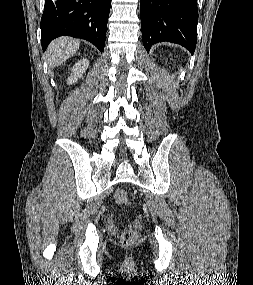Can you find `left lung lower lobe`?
Returning <instances> with one entry per match:
<instances>
[{
  "label": "left lung lower lobe",
  "mask_w": 253,
  "mask_h": 285,
  "mask_svg": "<svg viewBox=\"0 0 253 285\" xmlns=\"http://www.w3.org/2000/svg\"><path fill=\"white\" fill-rule=\"evenodd\" d=\"M142 40L149 52L168 41L194 53L197 42V0H140Z\"/></svg>",
  "instance_id": "0a47b994"
}]
</instances>
